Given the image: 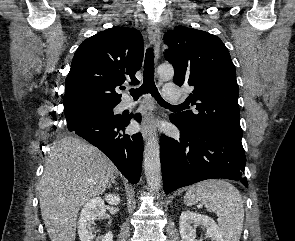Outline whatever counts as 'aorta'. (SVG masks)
Segmentation results:
<instances>
[{
	"label": "aorta",
	"instance_id": "aorta-1",
	"mask_svg": "<svg viewBox=\"0 0 295 241\" xmlns=\"http://www.w3.org/2000/svg\"><path fill=\"white\" fill-rule=\"evenodd\" d=\"M157 72L163 79L174 76V69L169 64L160 65ZM144 171L150 189L157 192L161 188V165L159 140L156 136L150 137L145 145Z\"/></svg>",
	"mask_w": 295,
	"mask_h": 241
}]
</instances>
